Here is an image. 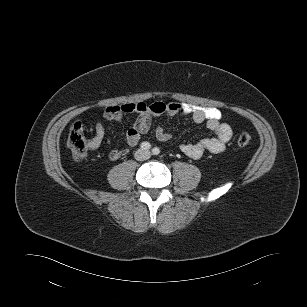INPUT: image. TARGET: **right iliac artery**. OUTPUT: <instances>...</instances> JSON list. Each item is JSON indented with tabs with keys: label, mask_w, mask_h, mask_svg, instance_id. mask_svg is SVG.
Here are the masks:
<instances>
[{
	"label": "right iliac artery",
	"mask_w": 307,
	"mask_h": 307,
	"mask_svg": "<svg viewBox=\"0 0 307 307\" xmlns=\"http://www.w3.org/2000/svg\"><path fill=\"white\" fill-rule=\"evenodd\" d=\"M141 149L143 150H149L151 148V145L149 142H142L140 145Z\"/></svg>",
	"instance_id": "82829eb1"
}]
</instances>
